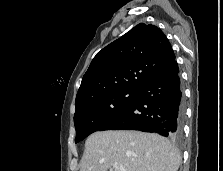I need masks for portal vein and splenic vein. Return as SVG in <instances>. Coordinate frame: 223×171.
Segmentation results:
<instances>
[{"label":"portal vein and splenic vein","instance_id":"18ae733b","mask_svg":"<svg viewBox=\"0 0 223 171\" xmlns=\"http://www.w3.org/2000/svg\"><path fill=\"white\" fill-rule=\"evenodd\" d=\"M113 169L115 171H126L125 167L124 166H120L119 164L115 163L113 164Z\"/></svg>","mask_w":223,"mask_h":171}]
</instances>
